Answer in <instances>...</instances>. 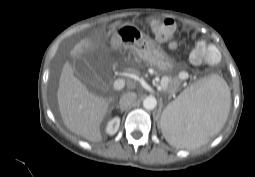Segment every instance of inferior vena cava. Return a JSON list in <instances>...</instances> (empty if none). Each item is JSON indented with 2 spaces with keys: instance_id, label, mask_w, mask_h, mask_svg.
Wrapping results in <instances>:
<instances>
[{
  "instance_id": "602c4592",
  "label": "inferior vena cava",
  "mask_w": 255,
  "mask_h": 177,
  "mask_svg": "<svg viewBox=\"0 0 255 177\" xmlns=\"http://www.w3.org/2000/svg\"><path fill=\"white\" fill-rule=\"evenodd\" d=\"M137 99V95L134 92H128L121 96L119 104L122 108H128L134 104Z\"/></svg>"
}]
</instances>
